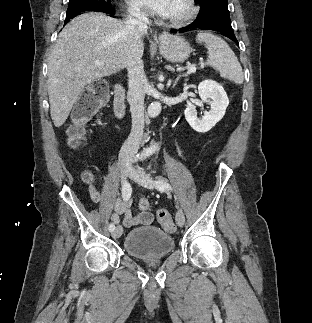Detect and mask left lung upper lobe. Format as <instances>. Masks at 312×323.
I'll list each match as a JSON object with an SVG mask.
<instances>
[{
    "label": "left lung upper lobe",
    "instance_id": "obj_1",
    "mask_svg": "<svg viewBox=\"0 0 312 323\" xmlns=\"http://www.w3.org/2000/svg\"><path fill=\"white\" fill-rule=\"evenodd\" d=\"M200 12L193 24H202L220 18L230 19L227 0H195Z\"/></svg>",
    "mask_w": 312,
    "mask_h": 323
}]
</instances>
